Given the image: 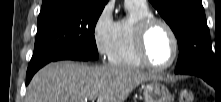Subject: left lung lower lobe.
<instances>
[{"instance_id":"0a47b994","label":"left lung lower lobe","mask_w":221,"mask_h":102,"mask_svg":"<svg viewBox=\"0 0 221 102\" xmlns=\"http://www.w3.org/2000/svg\"><path fill=\"white\" fill-rule=\"evenodd\" d=\"M176 74H190V75H196V76H199L201 78H203L207 83H209L210 85L214 86L215 83H216V78L209 75V74H206V73H203L201 71H197V70H193V71H184V72H175Z\"/></svg>"}]
</instances>
